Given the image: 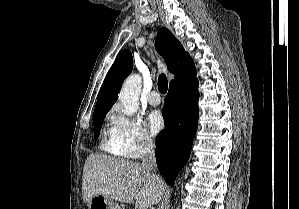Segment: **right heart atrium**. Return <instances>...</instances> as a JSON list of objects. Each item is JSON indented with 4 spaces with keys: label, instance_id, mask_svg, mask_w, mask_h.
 <instances>
[{
    "label": "right heart atrium",
    "instance_id": "d8ad5b80",
    "mask_svg": "<svg viewBox=\"0 0 299 209\" xmlns=\"http://www.w3.org/2000/svg\"><path fill=\"white\" fill-rule=\"evenodd\" d=\"M111 137L120 154L138 158L154 147V141L138 119L114 109L109 116Z\"/></svg>",
    "mask_w": 299,
    "mask_h": 209
}]
</instances>
